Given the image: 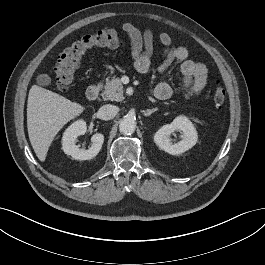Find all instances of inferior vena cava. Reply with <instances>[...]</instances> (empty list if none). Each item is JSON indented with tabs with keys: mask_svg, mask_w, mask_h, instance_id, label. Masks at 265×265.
Masks as SVG:
<instances>
[{
	"mask_svg": "<svg viewBox=\"0 0 265 265\" xmlns=\"http://www.w3.org/2000/svg\"><path fill=\"white\" fill-rule=\"evenodd\" d=\"M118 113V108L114 105H103L99 111H98V115L99 118L102 120H110L112 118H114Z\"/></svg>",
	"mask_w": 265,
	"mask_h": 265,
	"instance_id": "602c4592",
	"label": "inferior vena cava"
}]
</instances>
